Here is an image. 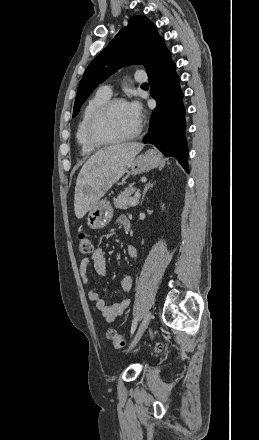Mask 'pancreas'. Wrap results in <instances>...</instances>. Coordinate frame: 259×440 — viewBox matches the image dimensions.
Listing matches in <instances>:
<instances>
[{
	"label": "pancreas",
	"mask_w": 259,
	"mask_h": 440,
	"mask_svg": "<svg viewBox=\"0 0 259 440\" xmlns=\"http://www.w3.org/2000/svg\"><path fill=\"white\" fill-rule=\"evenodd\" d=\"M136 191V188L131 187L123 192H121L117 198L114 199V206L118 209L126 210L129 207V203L136 199V197H131V195Z\"/></svg>",
	"instance_id": "pancreas-1"
}]
</instances>
